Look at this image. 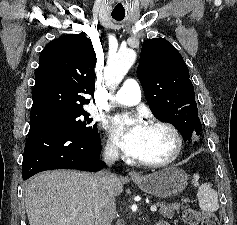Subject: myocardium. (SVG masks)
Segmentation results:
<instances>
[{"label":"myocardium","mask_w":237,"mask_h":225,"mask_svg":"<svg viewBox=\"0 0 237 225\" xmlns=\"http://www.w3.org/2000/svg\"><path fill=\"white\" fill-rule=\"evenodd\" d=\"M147 126L161 128L169 132L173 138L174 145L172 152L166 158L154 161L137 159L138 163L146 167L157 168L166 166L176 160L183 148V140L179 130L174 125L161 120H152L148 123Z\"/></svg>","instance_id":"f54148a6"}]
</instances>
